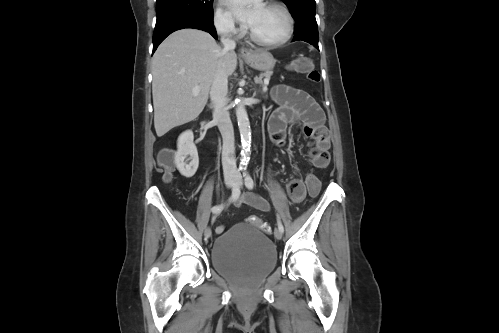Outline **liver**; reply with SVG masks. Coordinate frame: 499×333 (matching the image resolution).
Here are the masks:
<instances>
[{
    "label": "liver",
    "mask_w": 499,
    "mask_h": 333,
    "mask_svg": "<svg viewBox=\"0 0 499 333\" xmlns=\"http://www.w3.org/2000/svg\"><path fill=\"white\" fill-rule=\"evenodd\" d=\"M219 66L231 76L237 67V55L222 49L202 30L175 31L159 45L152 59L154 127L158 137L200 115ZM196 86L200 91L193 95Z\"/></svg>",
    "instance_id": "1"
}]
</instances>
